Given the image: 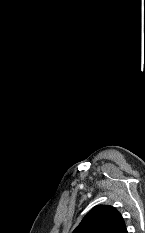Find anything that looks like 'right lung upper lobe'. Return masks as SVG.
Segmentation results:
<instances>
[{
	"label": "right lung upper lobe",
	"mask_w": 145,
	"mask_h": 233,
	"mask_svg": "<svg viewBox=\"0 0 145 233\" xmlns=\"http://www.w3.org/2000/svg\"><path fill=\"white\" fill-rule=\"evenodd\" d=\"M73 233H127V229L116 208L97 205L83 218Z\"/></svg>",
	"instance_id": "1"
}]
</instances>
